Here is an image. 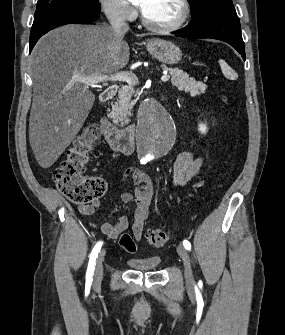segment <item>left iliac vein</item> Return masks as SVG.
I'll return each mask as SVG.
<instances>
[{"label": "left iliac vein", "mask_w": 285, "mask_h": 335, "mask_svg": "<svg viewBox=\"0 0 285 335\" xmlns=\"http://www.w3.org/2000/svg\"><path fill=\"white\" fill-rule=\"evenodd\" d=\"M177 252L179 254V256L182 259L183 265H184V277H185V281L187 283V285H190L193 283V272H192V267H191V261H190V257L189 254L187 252V250L184 248V246H182L181 244H179L177 246Z\"/></svg>", "instance_id": "1"}]
</instances>
